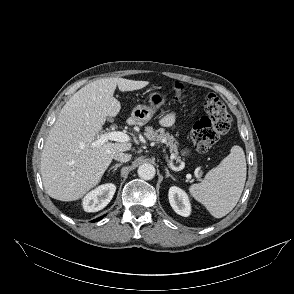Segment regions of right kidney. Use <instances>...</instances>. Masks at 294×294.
<instances>
[{
	"label": "right kidney",
	"mask_w": 294,
	"mask_h": 294,
	"mask_svg": "<svg viewBox=\"0 0 294 294\" xmlns=\"http://www.w3.org/2000/svg\"><path fill=\"white\" fill-rule=\"evenodd\" d=\"M116 191V186L107 183L89 192L82 201L83 209L86 212H97L106 207Z\"/></svg>",
	"instance_id": "ca27d5eb"
}]
</instances>
